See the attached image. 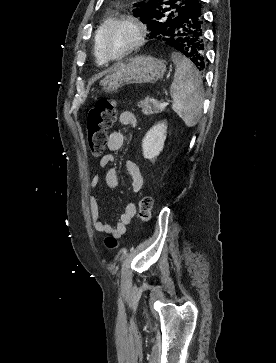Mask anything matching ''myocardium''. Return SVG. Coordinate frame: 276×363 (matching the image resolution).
Instances as JSON below:
<instances>
[{
  "label": "myocardium",
  "mask_w": 276,
  "mask_h": 363,
  "mask_svg": "<svg viewBox=\"0 0 276 363\" xmlns=\"http://www.w3.org/2000/svg\"><path fill=\"white\" fill-rule=\"evenodd\" d=\"M119 25H126L130 27L134 32V37L131 43L121 53L111 56L105 50L104 41L110 31ZM145 38L146 26L138 17L133 15H121L112 19L101 31L99 35V51L105 62L120 61L140 48L143 45Z\"/></svg>",
  "instance_id": "1"
}]
</instances>
